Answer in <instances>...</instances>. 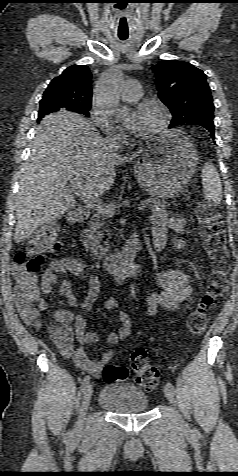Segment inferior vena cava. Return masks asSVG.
<instances>
[{"label": "inferior vena cava", "mask_w": 238, "mask_h": 476, "mask_svg": "<svg viewBox=\"0 0 238 476\" xmlns=\"http://www.w3.org/2000/svg\"><path fill=\"white\" fill-rule=\"evenodd\" d=\"M105 142L108 146V148L113 151V152H117L118 151V142L116 140L115 137L111 136V135H108L105 139Z\"/></svg>", "instance_id": "inferior-vena-cava-1"}]
</instances>
